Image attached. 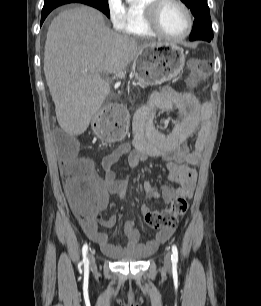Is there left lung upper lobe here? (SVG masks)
Returning <instances> with one entry per match:
<instances>
[{
    "instance_id": "left-lung-upper-lobe-1",
    "label": "left lung upper lobe",
    "mask_w": 261,
    "mask_h": 306,
    "mask_svg": "<svg viewBox=\"0 0 261 306\" xmlns=\"http://www.w3.org/2000/svg\"><path fill=\"white\" fill-rule=\"evenodd\" d=\"M195 18L193 29L189 36L190 40H206L211 41L213 38L211 28L210 11L207 0H181Z\"/></svg>"
}]
</instances>
